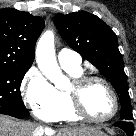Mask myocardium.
<instances>
[{
    "label": "myocardium",
    "mask_w": 136,
    "mask_h": 136,
    "mask_svg": "<svg viewBox=\"0 0 136 136\" xmlns=\"http://www.w3.org/2000/svg\"><path fill=\"white\" fill-rule=\"evenodd\" d=\"M93 83H101L109 91L112 101L113 110L111 114L105 118H94L87 112L84 105V95L87 88ZM70 104L74 114L81 120L89 123L102 124L112 120L119 110V99L113 86L104 78L99 76L81 75L73 80L71 87L67 91Z\"/></svg>",
    "instance_id": "obj_1"
}]
</instances>
